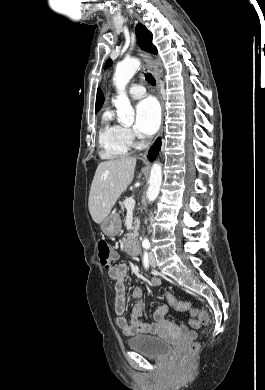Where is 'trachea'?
I'll return each mask as SVG.
<instances>
[{
  "label": "trachea",
  "mask_w": 265,
  "mask_h": 390,
  "mask_svg": "<svg viewBox=\"0 0 265 390\" xmlns=\"http://www.w3.org/2000/svg\"><path fill=\"white\" fill-rule=\"evenodd\" d=\"M145 78L151 85H153V86L156 85V80L150 73H147Z\"/></svg>",
  "instance_id": "3493384b"
}]
</instances>
